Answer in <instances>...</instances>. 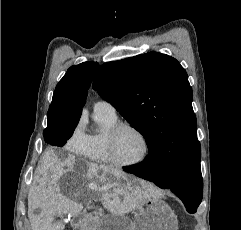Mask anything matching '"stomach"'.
Segmentation results:
<instances>
[{
    "instance_id": "obj_1",
    "label": "stomach",
    "mask_w": 241,
    "mask_h": 230,
    "mask_svg": "<svg viewBox=\"0 0 241 230\" xmlns=\"http://www.w3.org/2000/svg\"><path fill=\"white\" fill-rule=\"evenodd\" d=\"M110 182L124 179L111 175ZM84 230H178V221L172 209L162 200L149 197L134 210L133 221L111 215L94 226H84Z\"/></svg>"
}]
</instances>
